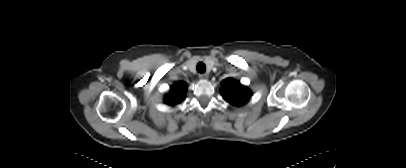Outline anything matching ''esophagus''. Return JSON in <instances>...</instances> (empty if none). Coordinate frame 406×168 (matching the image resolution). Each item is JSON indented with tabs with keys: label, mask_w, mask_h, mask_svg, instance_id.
Returning <instances> with one entry per match:
<instances>
[{
	"label": "esophagus",
	"mask_w": 406,
	"mask_h": 168,
	"mask_svg": "<svg viewBox=\"0 0 406 168\" xmlns=\"http://www.w3.org/2000/svg\"><path fill=\"white\" fill-rule=\"evenodd\" d=\"M199 78H200V79H203V80H206V79H208V74H206V73H201V74H199Z\"/></svg>",
	"instance_id": "obj_1"
}]
</instances>
